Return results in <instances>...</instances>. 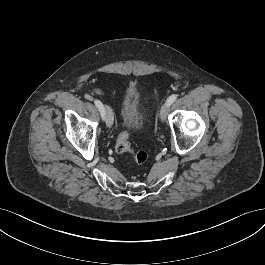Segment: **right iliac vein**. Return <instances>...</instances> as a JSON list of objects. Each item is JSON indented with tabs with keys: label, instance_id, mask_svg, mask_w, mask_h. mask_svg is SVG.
I'll use <instances>...</instances> for the list:
<instances>
[{
	"label": "right iliac vein",
	"instance_id": "1",
	"mask_svg": "<svg viewBox=\"0 0 265 265\" xmlns=\"http://www.w3.org/2000/svg\"><path fill=\"white\" fill-rule=\"evenodd\" d=\"M104 117L107 127H111L113 125V113L109 106L104 107Z\"/></svg>",
	"mask_w": 265,
	"mask_h": 265
}]
</instances>
